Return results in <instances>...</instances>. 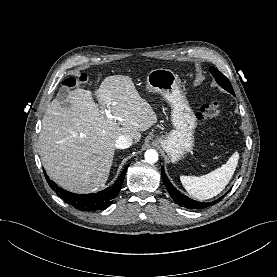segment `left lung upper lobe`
<instances>
[{
  "label": "left lung upper lobe",
  "mask_w": 277,
  "mask_h": 277,
  "mask_svg": "<svg viewBox=\"0 0 277 277\" xmlns=\"http://www.w3.org/2000/svg\"><path fill=\"white\" fill-rule=\"evenodd\" d=\"M211 74L214 76L215 80L217 83L223 87L226 91L231 93L232 95L234 94L233 88L231 86L230 81L227 79L226 76H224L219 70H217L214 67H210Z\"/></svg>",
  "instance_id": "left-lung-upper-lobe-1"
}]
</instances>
